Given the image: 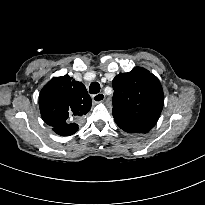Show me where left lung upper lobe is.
I'll list each match as a JSON object with an SVG mask.
<instances>
[{
  "label": "left lung upper lobe",
  "instance_id": "obj_1",
  "mask_svg": "<svg viewBox=\"0 0 205 205\" xmlns=\"http://www.w3.org/2000/svg\"><path fill=\"white\" fill-rule=\"evenodd\" d=\"M112 86L116 124L128 133H148L157 123L164 104L158 78L144 68L135 67L117 75Z\"/></svg>",
  "mask_w": 205,
  "mask_h": 205
}]
</instances>
